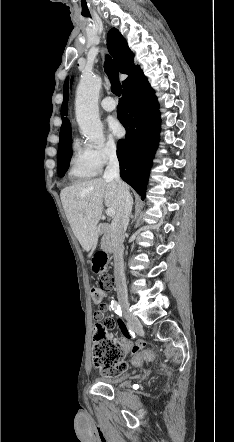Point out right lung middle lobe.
Listing matches in <instances>:
<instances>
[{"label": "right lung middle lobe", "mask_w": 234, "mask_h": 442, "mask_svg": "<svg viewBox=\"0 0 234 442\" xmlns=\"http://www.w3.org/2000/svg\"><path fill=\"white\" fill-rule=\"evenodd\" d=\"M71 141L72 138L64 145L58 147L57 172L59 177H62L69 167V161L72 157Z\"/></svg>", "instance_id": "dd1d6c3e"}]
</instances>
